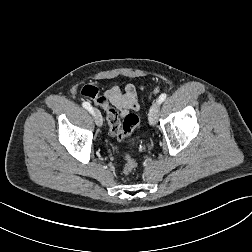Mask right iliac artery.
Listing matches in <instances>:
<instances>
[{"label":"right iliac artery","instance_id":"1","mask_svg":"<svg viewBox=\"0 0 252 252\" xmlns=\"http://www.w3.org/2000/svg\"><path fill=\"white\" fill-rule=\"evenodd\" d=\"M82 106L87 109L91 114L94 113L92 106L88 102H83Z\"/></svg>","mask_w":252,"mask_h":252}]
</instances>
